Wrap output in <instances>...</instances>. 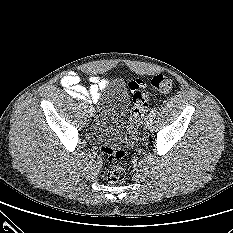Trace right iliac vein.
I'll return each instance as SVG.
<instances>
[{
    "mask_svg": "<svg viewBox=\"0 0 233 233\" xmlns=\"http://www.w3.org/2000/svg\"><path fill=\"white\" fill-rule=\"evenodd\" d=\"M86 113H87L88 117H93V115H94V109L91 106H88L86 108Z\"/></svg>",
    "mask_w": 233,
    "mask_h": 233,
    "instance_id": "right-iliac-vein-1",
    "label": "right iliac vein"
}]
</instances>
